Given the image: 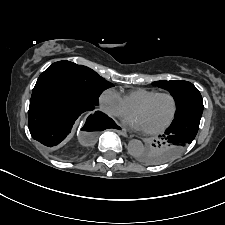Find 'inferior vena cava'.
Wrapping results in <instances>:
<instances>
[{
  "instance_id": "inferior-vena-cava-1",
  "label": "inferior vena cava",
  "mask_w": 225,
  "mask_h": 225,
  "mask_svg": "<svg viewBox=\"0 0 225 225\" xmlns=\"http://www.w3.org/2000/svg\"><path fill=\"white\" fill-rule=\"evenodd\" d=\"M101 110H102L103 112H105V113L110 114V111H109V109H108L107 107L101 106Z\"/></svg>"
}]
</instances>
